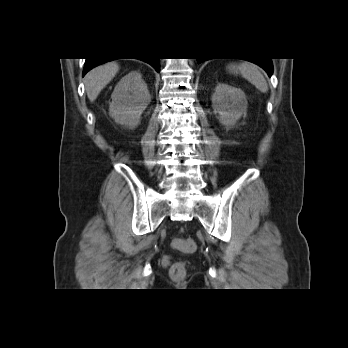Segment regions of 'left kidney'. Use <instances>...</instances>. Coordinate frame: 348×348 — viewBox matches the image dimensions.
Returning <instances> with one entry per match:
<instances>
[{
	"label": "left kidney",
	"instance_id": "obj_1",
	"mask_svg": "<svg viewBox=\"0 0 348 348\" xmlns=\"http://www.w3.org/2000/svg\"><path fill=\"white\" fill-rule=\"evenodd\" d=\"M211 100L214 112L218 113L220 123L226 128L235 126L247 111L248 102L245 93L227 84H218Z\"/></svg>",
	"mask_w": 348,
	"mask_h": 348
}]
</instances>
